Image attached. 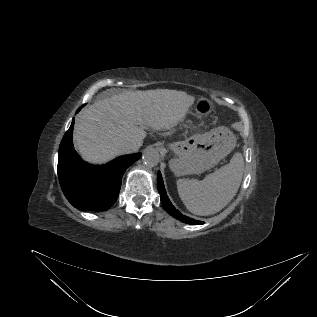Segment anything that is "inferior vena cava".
Instances as JSON below:
<instances>
[{"mask_svg":"<svg viewBox=\"0 0 317 317\" xmlns=\"http://www.w3.org/2000/svg\"><path fill=\"white\" fill-rule=\"evenodd\" d=\"M118 149H119L120 153L128 154V153H132V152L137 151L139 149V146L134 142H124V143L120 144Z\"/></svg>","mask_w":317,"mask_h":317,"instance_id":"1","label":"inferior vena cava"}]
</instances>
